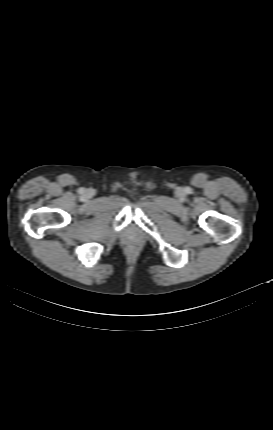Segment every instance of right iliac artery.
I'll use <instances>...</instances> for the list:
<instances>
[{"instance_id": "82829eb1", "label": "right iliac artery", "mask_w": 273, "mask_h": 430, "mask_svg": "<svg viewBox=\"0 0 273 430\" xmlns=\"http://www.w3.org/2000/svg\"><path fill=\"white\" fill-rule=\"evenodd\" d=\"M83 191V189H80V192H82Z\"/></svg>"}]
</instances>
